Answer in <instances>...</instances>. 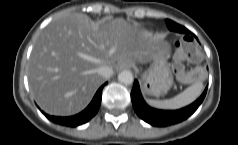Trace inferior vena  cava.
Masks as SVG:
<instances>
[{
	"instance_id": "1",
	"label": "inferior vena cava",
	"mask_w": 238,
	"mask_h": 145,
	"mask_svg": "<svg viewBox=\"0 0 238 145\" xmlns=\"http://www.w3.org/2000/svg\"><path fill=\"white\" fill-rule=\"evenodd\" d=\"M97 73L105 79H108L113 75V69L109 66H101L97 69Z\"/></svg>"
}]
</instances>
